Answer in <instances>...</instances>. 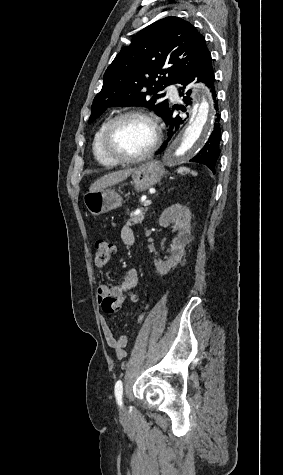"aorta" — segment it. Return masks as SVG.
Instances as JSON below:
<instances>
[{"label":"aorta","instance_id":"obj_1","mask_svg":"<svg viewBox=\"0 0 283 475\" xmlns=\"http://www.w3.org/2000/svg\"><path fill=\"white\" fill-rule=\"evenodd\" d=\"M214 109L204 92L201 101L194 103L185 126L166 148V163L187 160L199 153L213 129Z\"/></svg>","mask_w":283,"mask_h":475}]
</instances>
